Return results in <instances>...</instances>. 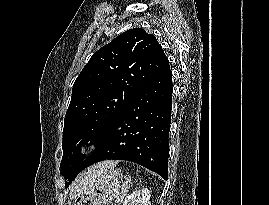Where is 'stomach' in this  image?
Returning a JSON list of instances; mask_svg holds the SVG:
<instances>
[{"label": "stomach", "instance_id": "stomach-1", "mask_svg": "<svg viewBox=\"0 0 269 205\" xmlns=\"http://www.w3.org/2000/svg\"><path fill=\"white\" fill-rule=\"evenodd\" d=\"M122 183L121 169L110 168L97 176L85 194L75 198L74 205H108L114 200L119 201L125 194Z\"/></svg>", "mask_w": 269, "mask_h": 205}]
</instances>
